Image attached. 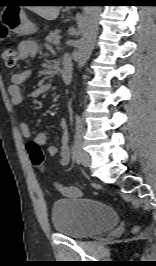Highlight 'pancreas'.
<instances>
[{
    "label": "pancreas",
    "instance_id": "pancreas-1",
    "mask_svg": "<svg viewBox=\"0 0 156 266\" xmlns=\"http://www.w3.org/2000/svg\"><path fill=\"white\" fill-rule=\"evenodd\" d=\"M60 36H59V31H51L48 36L46 37V42L50 45H57V41H59Z\"/></svg>",
    "mask_w": 156,
    "mask_h": 266
}]
</instances>
